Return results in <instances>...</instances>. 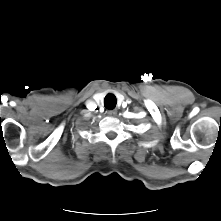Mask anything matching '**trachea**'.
<instances>
[{"label": "trachea", "instance_id": "3493384b", "mask_svg": "<svg viewBox=\"0 0 221 221\" xmlns=\"http://www.w3.org/2000/svg\"><path fill=\"white\" fill-rule=\"evenodd\" d=\"M117 99L114 94H107L104 99V106L106 109H114L116 107Z\"/></svg>", "mask_w": 221, "mask_h": 221}]
</instances>
